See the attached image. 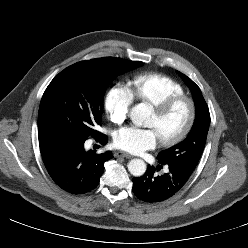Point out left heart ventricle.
I'll return each instance as SVG.
<instances>
[{"mask_svg": "<svg viewBox=\"0 0 248 248\" xmlns=\"http://www.w3.org/2000/svg\"><path fill=\"white\" fill-rule=\"evenodd\" d=\"M189 116L187 103L181 102L174 106L165 116L157 117L152 112L148 123L153 128L159 140L169 139L177 135L186 125Z\"/></svg>", "mask_w": 248, "mask_h": 248, "instance_id": "left-heart-ventricle-1", "label": "left heart ventricle"}]
</instances>
